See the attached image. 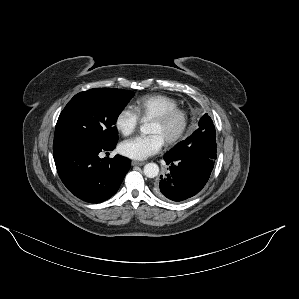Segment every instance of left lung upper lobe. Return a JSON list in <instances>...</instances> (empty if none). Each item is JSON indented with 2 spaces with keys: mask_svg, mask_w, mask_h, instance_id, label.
I'll return each instance as SVG.
<instances>
[{
  "mask_svg": "<svg viewBox=\"0 0 299 299\" xmlns=\"http://www.w3.org/2000/svg\"><path fill=\"white\" fill-rule=\"evenodd\" d=\"M201 139H208V142H210V149L212 151L211 158L216 159L217 155V149H216V131L213 124L212 119L208 116V114H205L199 121V127L198 129L186 140L179 142L176 144L169 152L168 154H172L175 152L180 151V149L185 148L186 146H189L191 144H194L197 140L200 141Z\"/></svg>",
  "mask_w": 299,
  "mask_h": 299,
  "instance_id": "obj_1",
  "label": "left lung upper lobe"
}]
</instances>
